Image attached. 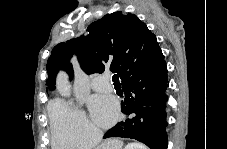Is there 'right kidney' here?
Listing matches in <instances>:
<instances>
[{"label": "right kidney", "mask_w": 227, "mask_h": 149, "mask_svg": "<svg viewBox=\"0 0 227 149\" xmlns=\"http://www.w3.org/2000/svg\"><path fill=\"white\" fill-rule=\"evenodd\" d=\"M125 149H144V148L141 144H129L125 147Z\"/></svg>", "instance_id": "ca27d5eb"}]
</instances>
